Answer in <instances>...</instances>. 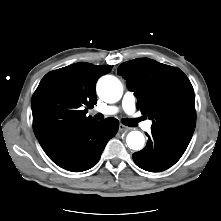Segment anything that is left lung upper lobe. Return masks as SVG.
<instances>
[{
	"mask_svg": "<svg viewBox=\"0 0 221 221\" xmlns=\"http://www.w3.org/2000/svg\"><path fill=\"white\" fill-rule=\"evenodd\" d=\"M118 74L137 97V107L153 121L151 130L187 145L196 125L195 96L178 68L141 58L122 63Z\"/></svg>",
	"mask_w": 221,
	"mask_h": 221,
	"instance_id": "left-lung-upper-lobe-1",
	"label": "left lung upper lobe"
}]
</instances>
